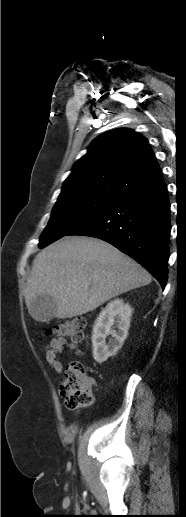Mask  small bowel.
Masks as SVG:
<instances>
[{
    "instance_id": "c3829d8e",
    "label": "small bowel",
    "mask_w": 186,
    "mask_h": 517,
    "mask_svg": "<svg viewBox=\"0 0 186 517\" xmlns=\"http://www.w3.org/2000/svg\"><path fill=\"white\" fill-rule=\"evenodd\" d=\"M70 347L78 356H83V352L74 343H68L66 339L58 337L53 338L45 347V358L50 367L57 373L63 370V364L59 358V354L65 347Z\"/></svg>"
}]
</instances>
